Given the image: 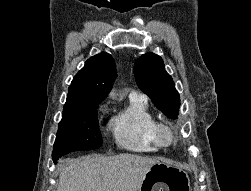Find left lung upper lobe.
I'll return each instance as SVG.
<instances>
[{"mask_svg":"<svg viewBox=\"0 0 251 191\" xmlns=\"http://www.w3.org/2000/svg\"><path fill=\"white\" fill-rule=\"evenodd\" d=\"M134 76L139 88L151 98L154 105L176 119L180 97L171 76L165 70L162 58L154 53L142 55L135 61Z\"/></svg>","mask_w":251,"mask_h":191,"instance_id":"5c2ea615","label":"left lung upper lobe"}]
</instances>
